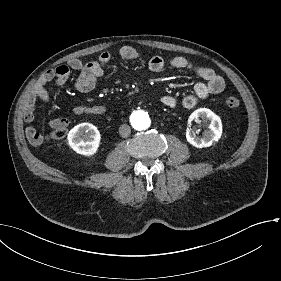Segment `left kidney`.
Segmentation results:
<instances>
[{"instance_id": "5707ae66", "label": "left kidney", "mask_w": 281, "mask_h": 281, "mask_svg": "<svg viewBox=\"0 0 281 281\" xmlns=\"http://www.w3.org/2000/svg\"><path fill=\"white\" fill-rule=\"evenodd\" d=\"M197 119L209 120L210 130L205 132L203 137L195 136L192 133L187 132V141L196 148H207L213 143L218 142L222 137V122L220 117L208 108H200L195 110L190 116V121Z\"/></svg>"}]
</instances>
